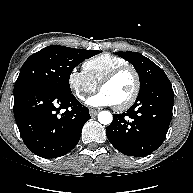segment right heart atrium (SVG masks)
Masks as SVG:
<instances>
[{"instance_id": "d8ad5b80", "label": "right heart atrium", "mask_w": 193, "mask_h": 193, "mask_svg": "<svg viewBox=\"0 0 193 193\" xmlns=\"http://www.w3.org/2000/svg\"><path fill=\"white\" fill-rule=\"evenodd\" d=\"M67 81L70 90L79 101H84L96 89V84L88 78L85 72L76 68L69 72Z\"/></svg>"}]
</instances>
